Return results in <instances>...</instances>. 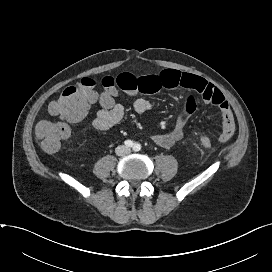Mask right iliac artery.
<instances>
[{
  "label": "right iliac artery",
  "mask_w": 272,
  "mask_h": 272,
  "mask_svg": "<svg viewBox=\"0 0 272 272\" xmlns=\"http://www.w3.org/2000/svg\"><path fill=\"white\" fill-rule=\"evenodd\" d=\"M124 144H125L127 147H133V146H134V142L131 141V140H126V141L124 142Z\"/></svg>",
  "instance_id": "82829eb1"
}]
</instances>
